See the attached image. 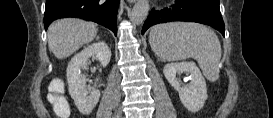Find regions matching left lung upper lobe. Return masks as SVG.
Returning <instances> with one entry per match:
<instances>
[{"mask_svg": "<svg viewBox=\"0 0 273 118\" xmlns=\"http://www.w3.org/2000/svg\"><path fill=\"white\" fill-rule=\"evenodd\" d=\"M207 1L211 2L215 6L219 7V0H207Z\"/></svg>", "mask_w": 273, "mask_h": 118, "instance_id": "5c2ea615", "label": "left lung upper lobe"}]
</instances>
